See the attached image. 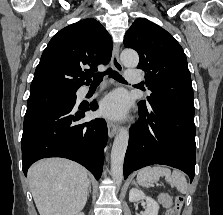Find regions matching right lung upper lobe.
Listing matches in <instances>:
<instances>
[{
    "mask_svg": "<svg viewBox=\"0 0 223 215\" xmlns=\"http://www.w3.org/2000/svg\"><path fill=\"white\" fill-rule=\"evenodd\" d=\"M112 54V40L95 19H84L60 30L48 43L35 70L30 94L46 91L76 92L107 64ZM84 66L90 69L82 70ZM87 80L85 83L84 80Z\"/></svg>",
    "mask_w": 223,
    "mask_h": 215,
    "instance_id": "obj_1",
    "label": "right lung upper lobe"
}]
</instances>
